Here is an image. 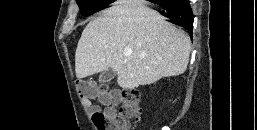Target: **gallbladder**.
I'll use <instances>...</instances> for the list:
<instances>
[{"label": "gallbladder", "instance_id": "1", "mask_svg": "<svg viewBox=\"0 0 257 130\" xmlns=\"http://www.w3.org/2000/svg\"><path fill=\"white\" fill-rule=\"evenodd\" d=\"M116 76V72L113 69H108L102 72L99 76V83L110 82Z\"/></svg>", "mask_w": 257, "mask_h": 130}]
</instances>
